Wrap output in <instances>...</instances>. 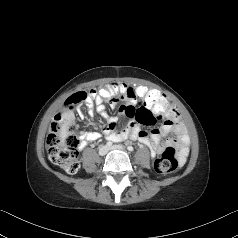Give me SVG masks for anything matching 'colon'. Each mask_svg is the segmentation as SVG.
Returning <instances> with one entry per match:
<instances>
[{"instance_id": "obj_1", "label": "colon", "mask_w": 238, "mask_h": 238, "mask_svg": "<svg viewBox=\"0 0 238 238\" xmlns=\"http://www.w3.org/2000/svg\"><path fill=\"white\" fill-rule=\"evenodd\" d=\"M93 91L99 94L100 103H119L117 94L124 95L128 91V85L124 81L107 86H93ZM135 93L139 97H144L150 106V111L156 116L157 120H162L170 116L174 109L166 101V95L144 84H139L135 88ZM84 91L76 92L67 98L65 105L73 107L87 97ZM74 118H63L61 115L51 125V131L47 137L48 157L54 164L61 167L67 173H76L79 169L78 145L79 140L75 134ZM179 165L176 150L169 146L162 155L155 161V169L160 174L174 171Z\"/></svg>"}]
</instances>
